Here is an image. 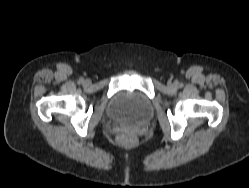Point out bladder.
<instances>
[{
    "label": "bladder",
    "mask_w": 249,
    "mask_h": 188,
    "mask_svg": "<svg viewBox=\"0 0 249 188\" xmlns=\"http://www.w3.org/2000/svg\"><path fill=\"white\" fill-rule=\"evenodd\" d=\"M111 117L133 123L143 122L152 115L150 101L141 93L124 91L117 94L109 103Z\"/></svg>",
    "instance_id": "1"
}]
</instances>
